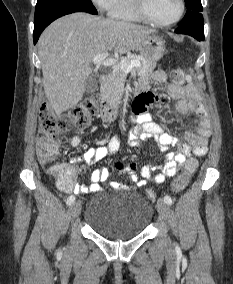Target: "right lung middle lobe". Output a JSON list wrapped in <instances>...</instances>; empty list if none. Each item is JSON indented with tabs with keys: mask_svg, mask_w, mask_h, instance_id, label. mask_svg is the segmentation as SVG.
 Here are the masks:
<instances>
[{
	"mask_svg": "<svg viewBox=\"0 0 233 284\" xmlns=\"http://www.w3.org/2000/svg\"><path fill=\"white\" fill-rule=\"evenodd\" d=\"M63 12H88L97 14L91 0H37L34 23Z\"/></svg>",
	"mask_w": 233,
	"mask_h": 284,
	"instance_id": "right-lung-middle-lobe-1",
	"label": "right lung middle lobe"
}]
</instances>
